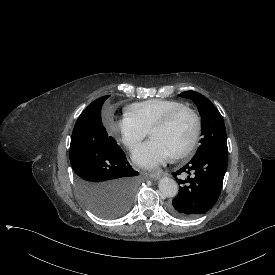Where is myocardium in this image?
Here are the masks:
<instances>
[{
    "label": "myocardium",
    "instance_id": "f54148a6",
    "mask_svg": "<svg viewBox=\"0 0 275 275\" xmlns=\"http://www.w3.org/2000/svg\"><path fill=\"white\" fill-rule=\"evenodd\" d=\"M182 113H188L191 116L192 122H193V131L188 143L173 155L174 159H181L187 156L194 149L199 139L200 128H201L200 119L197 113L190 107H181V108L175 109L169 112L167 115H165L161 120L156 122L151 128L149 133L151 134V132L155 129L168 128L173 123L174 119Z\"/></svg>",
    "mask_w": 275,
    "mask_h": 275
}]
</instances>
